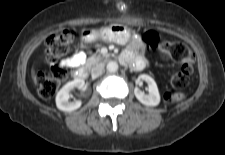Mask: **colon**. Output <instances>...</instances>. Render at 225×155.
Listing matches in <instances>:
<instances>
[{"instance_id": "1", "label": "colon", "mask_w": 225, "mask_h": 155, "mask_svg": "<svg viewBox=\"0 0 225 155\" xmlns=\"http://www.w3.org/2000/svg\"><path fill=\"white\" fill-rule=\"evenodd\" d=\"M143 41L152 49L160 52L165 60H170L179 65L171 76L172 91L164 95V101L168 105H174L182 99L181 90L186 87L189 77L193 72L194 56L189 47L181 41L161 42L154 32H147ZM74 40V31L70 29L49 35L45 40L46 53L51 58V66L48 72L38 74V92L44 99L55 95L61 82L67 76L66 67L57 59L65 55Z\"/></svg>"}]
</instances>
